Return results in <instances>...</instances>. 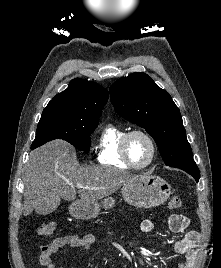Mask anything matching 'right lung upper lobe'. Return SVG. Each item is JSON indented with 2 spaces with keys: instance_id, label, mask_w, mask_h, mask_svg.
<instances>
[{
  "instance_id": "obj_1",
  "label": "right lung upper lobe",
  "mask_w": 221,
  "mask_h": 268,
  "mask_svg": "<svg viewBox=\"0 0 221 268\" xmlns=\"http://www.w3.org/2000/svg\"><path fill=\"white\" fill-rule=\"evenodd\" d=\"M108 96V91L97 83L76 78L48 103L43 112H61L82 119L99 120Z\"/></svg>"
}]
</instances>
